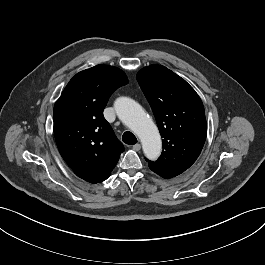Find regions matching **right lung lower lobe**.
<instances>
[{
  "mask_svg": "<svg viewBox=\"0 0 265 265\" xmlns=\"http://www.w3.org/2000/svg\"><path fill=\"white\" fill-rule=\"evenodd\" d=\"M109 176V175H108ZM108 176L105 178V179H107L108 178ZM105 179H103V180H101V181H104ZM101 181H99V182H101ZM98 183V182H97Z\"/></svg>",
  "mask_w": 265,
  "mask_h": 265,
  "instance_id": "obj_1",
  "label": "right lung lower lobe"
}]
</instances>
